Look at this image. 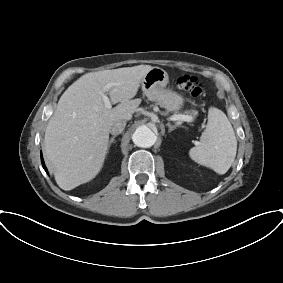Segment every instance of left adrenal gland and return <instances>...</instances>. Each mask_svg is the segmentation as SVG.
Wrapping results in <instances>:
<instances>
[{
    "label": "left adrenal gland",
    "mask_w": 283,
    "mask_h": 283,
    "mask_svg": "<svg viewBox=\"0 0 283 283\" xmlns=\"http://www.w3.org/2000/svg\"><path fill=\"white\" fill-rule=\"evenodd\" d=\"M167 126L169 127V130H168V132H172L174 129H176V125H171V124H169V123H167Z\"/></svg>",
    "instance_id": "left-adrenal-gland-1"
}]
</instances>
